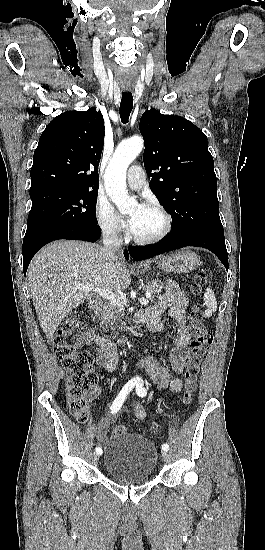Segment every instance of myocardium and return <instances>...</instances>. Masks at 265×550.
<instances>
[{
  "mask_svg": "<svg viewBox=\"0 0 265 550\" xmlns=\"http://www.w3.org/2000/svg\"><path fill=\"white\" fill-rule=\"evenodd\" d=\"M145 207L158 212L163 217L164 226H163L162 230L159 233H157L156 235H154L152 237H139V236L135 235L132 232V230H130L131 239L135 243L140 244V245H150V244L157 243V242L163 240L170 233V231L172 229V217L161 205L152 202V203H148Z\"/></svg>",
  "mask_w": 265,
  "mask_h": 550,
  "instance_id": "myocardium-1",
  "label": "myocardium"
}]
</instances>
